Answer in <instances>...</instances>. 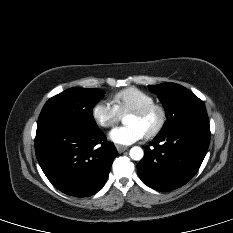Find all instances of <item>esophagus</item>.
Returning a JSON list of instances; mask_svg holds the SVG:
<instances>
[{
	"mask_svg": "<svg viewBox=\"0 0 233 233\" xmlns=\"http://www.w3.org/2000/svg\"><path fill=\"white\" fill-rule=\"evenodd\" d=\"M116 148L119 153H122L128 149V147L122 145H116Z\"/></svg>",
	"mask_w": 233,
	"mask_h": 233,
	"instance_id": "obj_1",
	"label": "esophagus"
}]
</instances>
